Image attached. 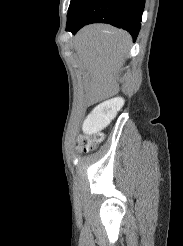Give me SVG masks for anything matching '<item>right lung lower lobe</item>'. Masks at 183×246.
I'll return each mask as SVG.
<instances>
[{
  "mask_svg": "<svg viewBox=\"0 0 183 246\" xmlns=\"http://www.w3.org/2000/svg\"><path fill=\"white\" fill-rule=\"evenodd\" d=\"M145 0H81L67 19L66 30L75 34L90 23H108L127 30L136 40Z\"/></svg>",
  "mask_w": 183,
  "mask_h": 246,
  "instance_id": "98d812e1",
  "label": "right lung lower lobe"
}]
</instances>
